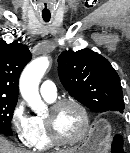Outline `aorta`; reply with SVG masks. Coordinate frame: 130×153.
I'll list each match as a JSON object with an SVG mask.
<instances>
[{
	"mask_svg": "<svg viewBox=\"0 0 130 153\" xmlns=\"http://www.w3.org/2000/svg\"><path fill=\"white\" fill-rule=\"evenodd\" d=\"M48 67V57L36 58L25 67L20 77L19 88L21 95L34 112H41L46 108L39 94V83Z\"/></svg>",
	"mask_w": 130,
	"mask_h": 153,
	"instance_id": "aorta-1",
	"label": "aorta"
}]
</instances>
